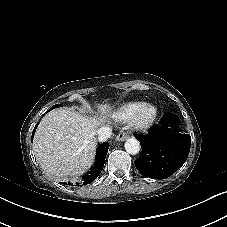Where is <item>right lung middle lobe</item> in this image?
I'll return each mask as SVG.
<instances>
[{"instance_id":"1","label":"right lung middle lobe","mask_w":227,"mask_h":227,"mask_svg":"<svg viewBox=\"0 0 227 227\" xmlns=\"http://www.w3.org/2000/svg\"><path fill=\"white\" fill-rule=\"evenodd\" d=\"M61 106H62L61 104H56V105H54L53 107H51L50 110H52V109H54V108H57V107H61ZM50 110H49V111H50Z\"/></svg>"}]
</instances>
